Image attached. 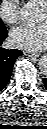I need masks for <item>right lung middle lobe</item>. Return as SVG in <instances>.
<instances>
[{
  "label": "right lung middle lobe",
  "instance_id": "dd1d6c3e",
  "mask_svg": "<svg viewBox=\"0 0 47 129\" xmlns=\"http://www.w3.org/2000/svg\"><path fill=\"white\" fill-rule=\"evenodd\" d=\"M5 26L3 25V23L0 21V30L4 29Z\"/></svg>",
  "mask_w": 47,
  "mask_h": 129
}]
</instances>
